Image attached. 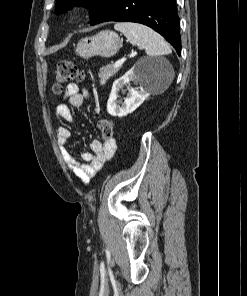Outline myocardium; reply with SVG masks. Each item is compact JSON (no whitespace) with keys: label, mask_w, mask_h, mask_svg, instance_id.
Masks as SVG:
<instances>
[{"label":"myocardium","mask_w":247,"mask_h":296,"mask_svg":"<svg viewBox=\"0 0 247 296\" xmlns=\"http://www.w3.org/2000/svg\"><path fill=\"white\" fill-rule=\"evenodd\" d=\"M75 20V17L74 16H71L70 17V21H74Z\"/></svg>","instance_id":"1"}]
</instances>
